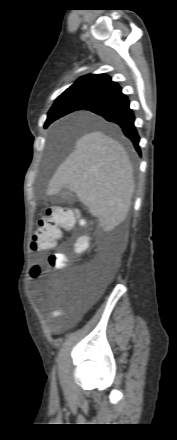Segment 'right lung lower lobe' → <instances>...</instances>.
Instances as JSON below:
<instances>
[{
	"label": "right lung lower lobe",
	"instance_id": "98d812e1",
	"mask_svg": "<svg viewBox=\"0 0 177 440\" xmlns=\"http://www.w3.org/2000/svg\"><path fill=\"white\" fill-rule=\"evenodd\" d=\"M82 110L91 111L102 116L105 120L119 125L124 135L133 142L136 151L141 154L139 147L140 138L134 125L135 117L129 107L128 98L121 91L92 102Z\"/></svg>",
	"mask_w": 177,
	"mask_h": 440
}]
</instances>
